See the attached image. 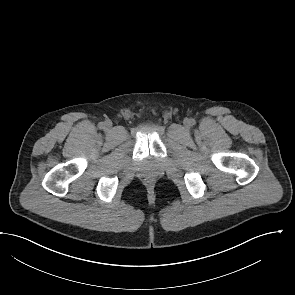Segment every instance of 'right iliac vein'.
I'll return each mask as SVG.
<instances>
[{
  "instance_id": "obj_1",
  "label": "right iliac vein",
  "mask_w": 295,
  "mask_h": 295,
  "mask_svg": "<svg viewBox=\"0 0 295 295\" xmlns=\"http://www.w3.org/2000/svg\"><path fill=\"white\" fill-rule=\"evenodd\" d=\"M104 126L106 129H110L112 127V122L111 121H105Z\"/></svg>"
}]
</instances>
